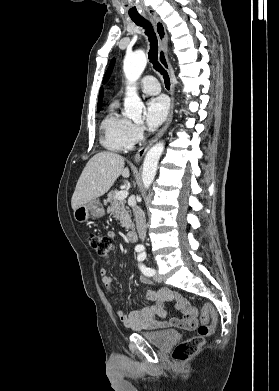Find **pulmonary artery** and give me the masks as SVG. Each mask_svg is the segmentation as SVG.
<instances>
[{"label":"pulmonary artery","instance_id":"pulmonary-artery-1","mask_svg":"<svg viewBox=\"0 0 279 391\" xmlns=\"http://www.w3.org/2000/svg\"><path fill=\"white\" fill-rule=\"evenodd\" d=\"M140 88L146 94H158L160 92V85L152 75H147L142 79Z\"/></svg>","mask_w":279,"mask_h":391}]
</instances>
